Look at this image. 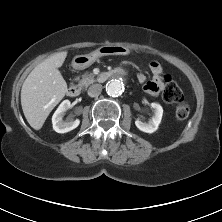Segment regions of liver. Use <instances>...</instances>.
I'll use <instances>...</instances> for the list:
<instances>
[{
    "mask_svg": "<svg viewBox=\"0 0 222 222\" xmlns=\"http://www.w3.org/2000/svg\"><path fill=\"white\" fill-rule=\"evenodd\" d=\"M67 52H59L38 64L25 79L21 89V106L30 126L42 128L53 108L67 92V83L58 70Z\"/></svg>",
    "mask_w": 222,
    "mask_h": 222,
    "instance_id": "6515ba94",
    "label": "liver"
}]
</instances>
